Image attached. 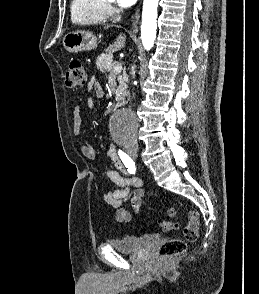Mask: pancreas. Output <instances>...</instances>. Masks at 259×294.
Here are the masks:
<instances>
[{
    "mask_svg": "<svg viewBox=\"0 0 259 294\" xmlns=\"http://www.w3.org/2000/svg\"><path fill=\"white\" fill-rule=\"evenodd\" d=\"M96 65L97 69H99L101 72H108L112 77L117 78L119 86L116 90V93L119 96L116 97V101L119 104H122L124 102V96L121 95V93L126 90L128 82V76L126 72L123 71V74L121 75L120 72H116L114 70V67L117 65V63L113 62L112 54H101L98 56L96 59Z\"/></svg>",
    "mask_w": 259,
    "mask_h": 294,
    "instance_id": "cf45deb5",
    "label": "pancreas"
}]
</instances>
